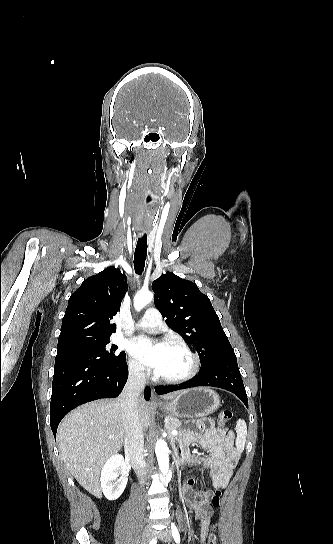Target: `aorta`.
I'll use <instances>...</instances> for the list:
<instances>
[{
  "instance_id": "obj_1",
  "label": "aorta",
  "mask_w": 333,
  "mask_h": 544,
  "mask_svg": "<svg viewBox=\"0 0 333 544\" xmlns=\"http://www.w3.org/2000/svg\"><path fill=\"white\" fill-rule=\"evenodd\" d=\"M153 299V293L150 291H140L134 297V308L140 311L144 306L150 303ZM155 453L159 469L162 474H166L169 470V449L164 440L159 439L155 445Z\"/></svg>"
}]
</instances>
